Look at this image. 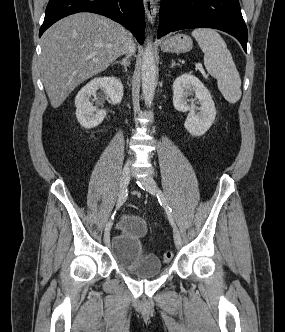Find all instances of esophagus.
I'll use <instances>...</instances> for the list:
<instances>
[{
	"label": "esophagus",
	"instance_id": "obj_1",
	"mask_svg": "<svg viewBox=\"0 0 285 332\" xmlns=\"http://www.w3.org/2000/svg\"><path fill=\"white\" fill-rule=\"evenodd\" d=\"M143 3L147 19L153 24L157 14L155 2L154 0H143Z\"/></svg>",
	"mask_w": 285,
	"mask_h": 332
}]
</instances>
